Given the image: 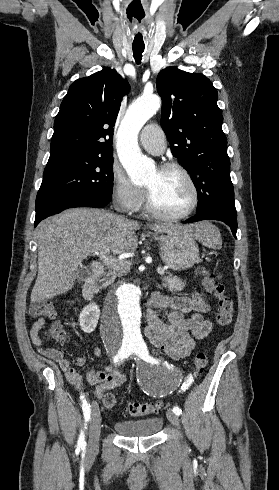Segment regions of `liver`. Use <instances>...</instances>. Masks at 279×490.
Returning <instances> with one entry per match:
<instances>
[{"label": "liver", "mask_w": 279, "mask_h": 490, "mask_svg": "<svg viewBox=\"0 0 279 490\" xmlns=\"http://www.w3.org/2000/svg\"><path fill=\"white\" fill-rule=\"evenodd\" d=\"M140 224L119 218L107 210L72 208L43 220L36 228L38 274L31 292V302L49 300L65 294L78 278L79 266L96 252L134 254L138 248L136 230ZM154 232H183L198 238L206 222L191 226L153 224Z\"/></svg>", "instance_id": "6515ba94"}]
</instances>
